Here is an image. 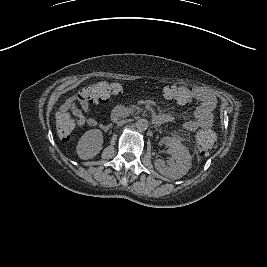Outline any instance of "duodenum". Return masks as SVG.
Listing matches in <instances>:
<instances>
[{
    "instance_id": "obj_1",
    "label": "duodenum",
    "mask_w": 267,
    "mask_h": 267,
    "mask_svg": "<svg viewBox=\"0 0 267 267\" xmlns=\"http://www.w3.org/2000/svg\"><path fill=\"white\" fill-rule=\"evenodd\" d=\"M137 114H139V112H134L123 107H116L112 112L111 120L112 122H115L118 119L132 118ZM150 118L155 124L158 125L163 124L167 119L165 116L161 115H152Z\"/></svg>"
}]
</instances>
